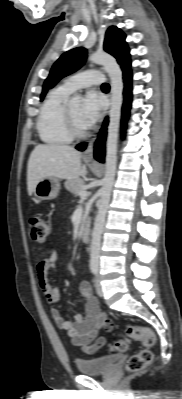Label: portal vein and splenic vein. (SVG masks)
<instances>
[{
    "label": "portal vein and splenic vein",
    "instance_id": "1",
    "mask_svg": "<svg viewBox=\"0 0 182 399\" xmlns=\"http://www.w3.org/2000/svg\"><path fill=\"white\" fill-rule=\"evenodd\" d=\"M88 195H89V192H88V191H86V190L81 191V192H80L81 201L86 200L87 197H88Z\"/></svg>",
    "mask_w": 182,
    "mask_h": 399
}]
</instances>
